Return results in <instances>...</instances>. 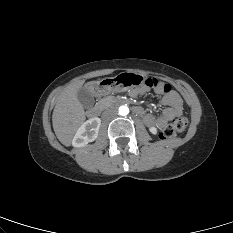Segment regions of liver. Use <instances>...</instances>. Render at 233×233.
Returning <instances> with one entry per match:
<instances>
[{
  "mask_svg": "<svg viewBox=\"0 0 233 233\" xmlns=\"http://www.w3.org/2000/svg\"><path fill=\"white\" fill-rule=\"evenodd\" d=\"M84 82L80 80L67 86L57 97L53 110V129L58 140L65 146L71 144L74 134L86 119L84 108L77 98V92ZM93 84L94 82H89L86 87L92 94H96Z\"/></svg>",
  "mask_w": 233,
  "mask_h": 233,
  "instance_id": "1",
  "label": "liver"
}]
</instances>
